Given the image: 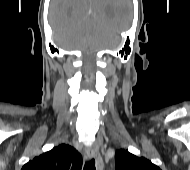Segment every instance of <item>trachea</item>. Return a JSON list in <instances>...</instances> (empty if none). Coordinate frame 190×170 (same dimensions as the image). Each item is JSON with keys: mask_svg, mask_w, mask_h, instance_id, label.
<instances>
[{"mask_svg": "<svg viewBox=\"0 0 190 170\" xmlns=\"http://www.w3.org/2000/svg\"><path fill=\"white\" fill-rule=\"evenodd\" d=\"M84 170H96L95 168V160L91 159L90 161L85 163Z\"/></svg>", "mask_w": 190, "mask_h": 170, "instance_id": "obj_1", "label": "trachea"}]
</instances>
